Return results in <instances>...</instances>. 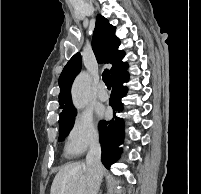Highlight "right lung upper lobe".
Wrapping results in <instances>:
<instances>
[{"label": "right lung upper lobe", "mask_w": 201, "mask_h": 194, "mask_svg": "<svg viewBox=\"0 0 201 194\" xmlns=\"http://www.w3.org/2000/svg\"><path fill=\"white\" fill-rule=\"evenodd\" d=\"M116 27L111 25L109 21L101 14L96 17V26L93 33L92 47L95 56L100 63H110L111 77H114L125 68L128 67L126 62H122L125 56L124 51L118 50L120 45L119 39L115 36ZM81 70V55L75 54L64 67L59 77V104L63 111L59 115V119L68 117L76 113V109L71 102V86L73 80Z\"/></svg>", "instance_id": "right-lung-upper-lobe-1"}]
</instances>
